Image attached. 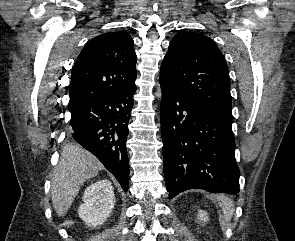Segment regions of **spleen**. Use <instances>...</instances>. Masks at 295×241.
Here are the masks:
<instances>
[{
  "mask_svg": "<svg viewBox=\"0 0 295 241\" xmlns=\"http://www.w3.org/2000/svg\"><path fill=\"white\" fill-rule=\"evenodd\" d=\"M217 201L222 209L224 220L227 222L230 221L234 212V204L232 200L224 195H219L217 196Z\"/></svg>",
  "mask_w": 295,
  "mask_h": 241,
  "instance_id": "spleen-1",
  "label": "spleen"
}]
</instances>
